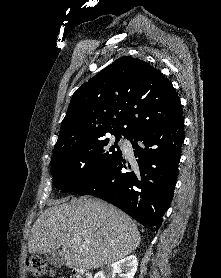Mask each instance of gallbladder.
<instances>
[{"instance_id": "obj_1", "label": "gallbladder", "mask_w": 221, "mask_h": 278, "mask_svg": "<svg viewBox=\"0 0 221 278\" xmlns=\"http://www.w3.org/2000/svg\"><path fill=\"white\" fill-rule=\"evenodd\" d=\"M46 260L54 267H61L64 265V258L60 250H54L45 254Z\"/></svg>"}]
</instances>
